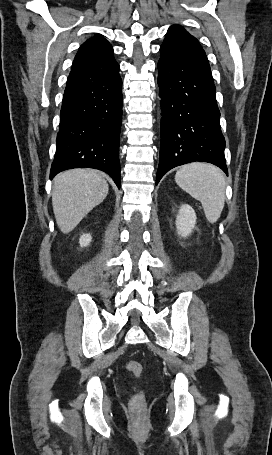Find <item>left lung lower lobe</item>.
Here are the masks:
<instances>
[{
  "instance_id": "left-lung-lower-lobe-1",
  "label": "left lung lower lobe",
  "mask_w": 272,
  "mask_h": 455,
  "mask_svg": "<svg viewBox=\"0 0 272 455\" xmlns=\"http://www.w3.org/2000/svg\"><path fill=\"white\" fill-rule=\"evenodd\" d=\"M162 121L156 185L170 169L202 161L227 175L225 139L210 66L207 63L158 62Z\"/></svg>"
}]
</instances>
